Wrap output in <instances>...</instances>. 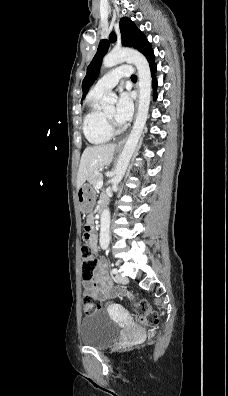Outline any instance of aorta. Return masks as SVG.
Listing matches in <instances>:
<instances>
[{
  "label": "aorta",
  "instance_id": "1",
  "mask_svg": "<svg viewBox=\"0 0 228 396\" xmlns=\"http://www.w3.org/2000/svg\"><path fill=\"white\" fill-rule=\"evenodd\" d=\"M123 62L133 63L137 68L139 79V103L134 126L116 165L115 176L112 179V189L117 188L127 170L129 161L147 121L151 99V73L148 61L144 55L137 50L128 48L112 50L104 57L103 66L109 68ZM116 99L117 96L115 93L104 95L101 100V106L103 108L112 106L115 104ZM100 221V246L102 249H107L110 243V211L108 208L103 210Z\"/></svg>",
  "mask_w": 228,
  "mask_h": 396
}]
</instances>
